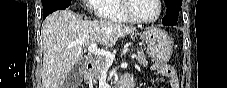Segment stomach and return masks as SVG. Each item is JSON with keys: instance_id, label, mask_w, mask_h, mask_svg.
Wrapping results in <instances>:
<instances>
[{"instance_id": "stomach-1", "label": "stomach", "mask_w": 227, "mask_h": 88, "mask_svg": "<svg viewBox=\"0 0 227 88\" xmlns=\"http://www.w3.org/2000/svg\"><path fill=\"white\" fill-rule=\"evenodd\" d=\"M140 37L146 42L148 55L158 65H163L169 61L173 52V45L166 31L153 27L143 32Z\"/></svg>"}]
</instances>
